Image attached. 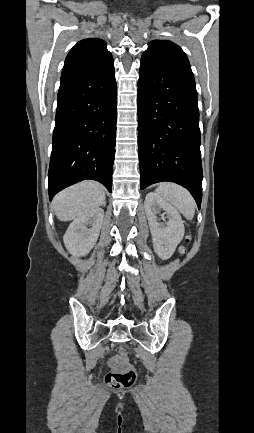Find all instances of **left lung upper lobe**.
<instances>
[{"label":"left lung upper lobe","mask_w":254,"mask_h":433,"mask_svg":"<svg viewBox=\"0 0 254 433\" xmlns=\"http://www.w3.org/2000/svg\"><path fill=\"white\" fill-rule=\"evenodd\" d=\"M142 57L155 60L177 70L193 75L189 60L183 50L167 40H153Z\"/></svg>","instance_id":"5c2ea615"}]
</instances>
